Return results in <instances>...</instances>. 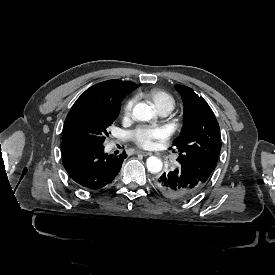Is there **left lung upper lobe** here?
I'll use <instances>...</instances> for the list:
<instances>
[{
	"instance_id": "obj_1",
	"label": "left lung upper lobe",
	"mask_w": 275,
	"mask_h": 275,
	"mask_svg": "<svg viewBox=\"0 0 275 275\" xmlns=\"http://www.w3.org/2000/svg\"><path fill=\"white\" fill-rule=\"evenodd\" d=\"M175 88L184 103V126L173 141L179 153L177 161L205 183L217 165L221 149L219 124L210 106L193 89L178 84Z\"/></svg>"
}]
</instances>
